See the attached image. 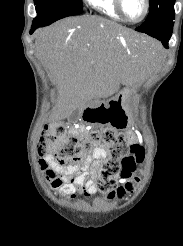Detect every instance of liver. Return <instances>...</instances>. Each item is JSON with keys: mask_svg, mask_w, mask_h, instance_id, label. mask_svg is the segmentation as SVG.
<instances>
[{"mask_svg": "<svg viewBox=\"0 0 183 246\" xmlns=\"http://www.w3.org/2000/svg\"><path fill=\"white\" fill-rule=\"evenodd\" d=\"M159 45L98 16L72 17L39 29L36 55L58 88L62 116L93 98L113 95L120 84L143 79Z\"/></svg>", "mask_w": 183, "mask_h": 246, "instance_id": "1", "label": "liver"}]
</instances>
